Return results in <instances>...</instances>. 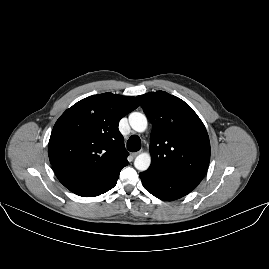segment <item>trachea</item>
<instances>
[{
    "instance_id": "trachea-1",
    "label": "trachea",
    "mask_w": 269,
    "mask_h": 269,
    "mask_svg": "<svg viewBox=\"0 0 269 269\" xmlns=\"http://www.w3.org/2000/svg\"><path fill=\"white\" fill-rule=\"evenodd\" d=\"M127 149L136 152L141 149V140L137 135H132L127 141Z\"/></svg>"
}]
</instances>
